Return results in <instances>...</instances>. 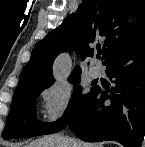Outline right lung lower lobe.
<instances>
[{
	"mask_svg": "<svg viewBox=\"0 0 145 147\" xmlns=\"http://www.w3.org/2000/svg\"><path fill=\"white\" fill-rule=\"evenodd\" d=\"M114 87L94 92L69 126L87 142L140 147L145 135V28L103 64Z\"/></svg>",
	"mask_w": 145,
	"mask_h": 147,
	"instance_id": "obj_1",
	"label": "right lung lower lobe"
}]
</instances>
